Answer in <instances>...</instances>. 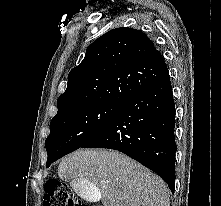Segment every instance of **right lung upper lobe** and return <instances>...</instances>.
<instances>
[{"label":"right lung upper lobe","mask_w":221,"mask_h":206,"mask_svg":"<svg viewBox=\"0 0 221 206\" xmlns=\"http://www.w3.org/2000/svg\"><path fill=\"white\" fill-rule=\"evenodd\" d=\"M167 72L160 51L142 31L113 29L93 42L70 71L57 113L94 103L123 106Z\"/></svg>","instance_id":"obj_1"}]
</instances>
